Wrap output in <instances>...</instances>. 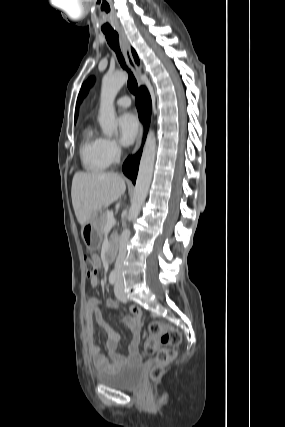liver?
Masks as SVG:
<instances>
[{"label":"liver","mask_w":285,"mask_h":427,"mask_svg":"<svg viewBox=\"0 0 285 427\" xmlns=\"http://www.w3.org/2000/svg\"><path fill=\"white\" fill-rule=\"evenodd\" d=\"M125 190V180L117 173H75L71 198L79 224L83 227L94 212L110 206L124 194Z\"/></svg>","instance_id":"obj_1"}]
</instances>
